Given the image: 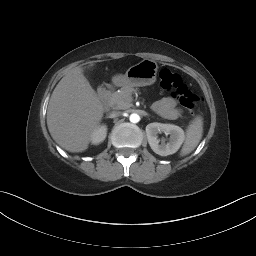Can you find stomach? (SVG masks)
I'll return each mask as SVG.
<instances>
[{"instance_id":"obj_1","label":"stomach","mask_w":256,"mask_h":256,"mask_svg":"<svg viewBox=\"0 0 256 256\" xmlns=\"http://www.w3.org/2000/svg\"><path fill=\"white\" fill-rule=\"evenodd\" d=\"M158 65L155 61L144 59L131 66L125 74H116L112 83L117 87H142L152 85L156 81Z\"/></svg>"}]
</instances>
